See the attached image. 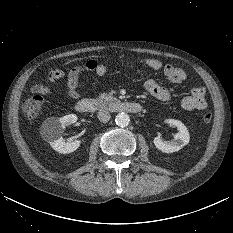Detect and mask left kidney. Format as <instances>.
Instances as JSON below:
<instances>
[{
    "instance_id": "obj_1",
    "label": "left kidney",
    "mask_w": 233,
    "mask_h": 233,
    "mask_svg": "<svg viewBox=\"0 0 233 233\" xmlns=\"http://www.w3.org/2000/svg\"><path fill=\"white\" fill-rule=\"evenodd\" d=\"M165 123L174 125L178 133L174 135V139L171 141H164L160 137L154 138V145L157 149L164 153H173L179 151L183 146L187 145L190 140L189 132L186 126L179 120L167 119Z\"/></svg>"
}]
</instances>
